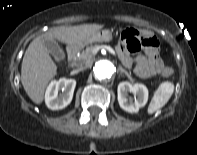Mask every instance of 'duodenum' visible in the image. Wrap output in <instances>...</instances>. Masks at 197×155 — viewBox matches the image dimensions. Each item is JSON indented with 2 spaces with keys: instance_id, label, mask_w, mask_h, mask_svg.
<instances>
[{
  "instance_id": "obj_1",
  "label": "duodenum",
  "mask_w": 197,
  "mask_h": 155,
  "mask_svg": "<svg viewBox=\"0 0 197 155\" xmlns=\"http://www.w3.org/2000/svg\"><path fill=\"white\" fill-rule=\"evenodd\" d=\"M77 50L75 47H71L67 51V59L72 60L76 56Z\"/></svg>"
}]
</instances>
